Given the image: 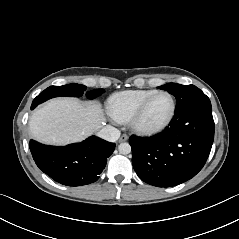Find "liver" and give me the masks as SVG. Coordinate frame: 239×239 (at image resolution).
<instances>
[{
	"label": "liver",
	"mask_w": 239,
	"mask_h": 239,
	"mask_svg": "<svg viewBox=\"0 0 239 239\" xmlns=\"http://www.w3.org/2000/svg\"><path fill=\"white\" fill-rule=\"evenodd\" d=\"M106 118L99 102L56 98L35 110L29 121L32 137L48 144H67L96 133Z\"/></svg>",
	"instance_id": "liver-1"
}]
</instances>
